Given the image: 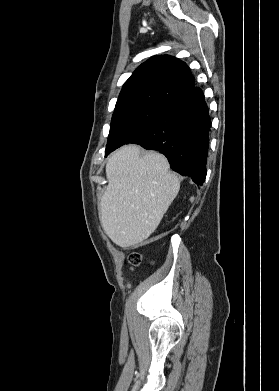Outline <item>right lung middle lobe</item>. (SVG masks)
Listing matches in <instances>:
<instances>
[{
	"label": "right lung middle lobe",
	"mask_w": 279,
	"mask_h": 391,
	"mask_svg": "<svg viewBox=\"0 0 279 391\" xmlns=\"http://www.w3.org/2000/svg\"><path fill=\"white\" fill-rule=\"evenodd\" d=\"M162 109L141 105L114 111L105 156L145 129Z\"/></svg>",
	"instance_id": "right-lung-middle-lobe-1"
}]
</instances>
